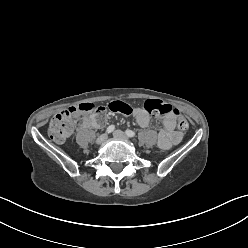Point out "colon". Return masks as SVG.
Masks as SVG:
<instances>
[{
  "mask_svg": "<svg viewBox=\"0 0 248 248\" xmlns=\"http://www.w3.org/2000/svg\"><path fill=\"white\" fill-rule=\"evenodd\" d=\"M108 108L115 113L124 114L127 116L133 115L132 106L122 101H112ZM143 108L153 116L165 115L173 113L178 117V128L185 132L189 128L188 121L180 115L179 111L173 109L169 104L158 100H146ZM105 108L97 106L93 103H83L77 107H69L60 113L56 114L51 120L48 128L50 138L56 142L64 141L72 131L73 119L79 115L85 116L92 124L99 125L104 122Z\"/></svg>",
  "mask_w": 248,
  "mask_h": 248,
  "instance_id": "obj_1",
  "label": "colon"
}]
</instances>
